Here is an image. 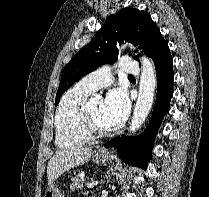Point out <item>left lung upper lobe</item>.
<instances>
[{
	"mask_svg": "<svg viewBox=\"0 0 209 197\" xmlns=\"http://www.w3.org/2000/svg\"><path fill=\"white\" fill-rule=\"evenodd\" d=\"M139 45L151 57L165 41L151 16L134 8H125L111 15L96 36L82 48L63 70L55 105L61 95L77 80L102 64H113L118 57L117 43ZM138 60V56L134 57Z\"/></svg>",
	"mask_w": 209,
	"mask_h": 197,
	"instance_id": "obj_1",
	"label": "left lung upper lobe"
}]
</instances>
